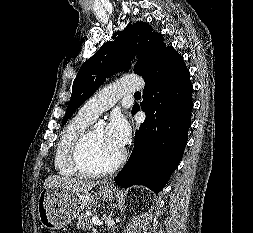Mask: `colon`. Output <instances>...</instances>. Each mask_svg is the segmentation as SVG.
<instances>
[{
	"label": "colon",
	"instance_id": "colon-1",
	"mask_svg": "<svg viewBox=\"0 0 253 233\" xmlns=\"http://www.w3.org/2000/svg\"><path fill=\"white\" fill-rule=\"evenodd\" d=\"M45 233H55L54 231H46Z\"/></svg>",
	"mask_w": 253,
	"mask_h": 233
}]
</instances>
